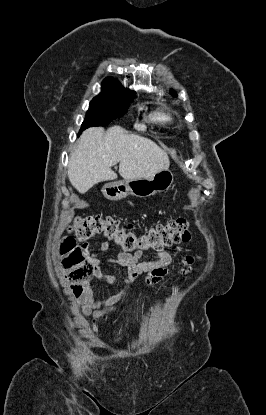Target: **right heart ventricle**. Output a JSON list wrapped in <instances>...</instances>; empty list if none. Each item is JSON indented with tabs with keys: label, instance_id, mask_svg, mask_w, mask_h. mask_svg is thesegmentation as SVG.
I'll return each instance as SVG.
<instances>
[{
	"label": "right heart ventricle",
	"instance_id": "right-heart-ventricle-1",
	"mask_svg": "<svg viewBox=\"0 0 266 415\" xmlns=\"http://www.w3.org/2000/svg\"><path fill=\"white\" fill-rule=\"evenodd\" d=\"M153 119L159 122H166L170 119V116L166 113L159 112L153 116Z\"/></svg>",
	"mask_w": 266,
	"mask_h": 415
}]
</instances>
